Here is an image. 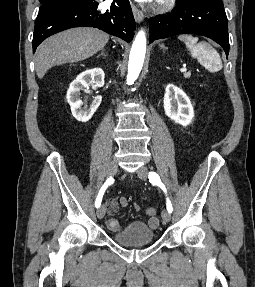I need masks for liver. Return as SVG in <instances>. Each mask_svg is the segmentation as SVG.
<instances>
[{
  "mask_svg": "<svg viewBox=\"0 0 255 287\" xmlns=\"http://www.w3.org/2000/svg\"><path fill=\"white\" fill-rule=\"evenodd\" d=\"M108 34L97 28H72L45 40L36 50L35 70L38 78H44L52 66L81 62L104 50Z\"/></svg>",
  "mask_w": 255,
  "mask_h": 287,
  "instance_id": "6515ba94",
  "label": "liver"
}]
</instances>
